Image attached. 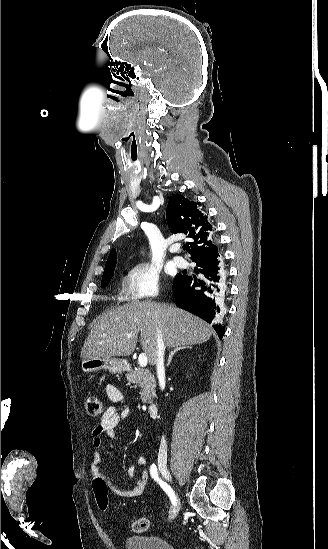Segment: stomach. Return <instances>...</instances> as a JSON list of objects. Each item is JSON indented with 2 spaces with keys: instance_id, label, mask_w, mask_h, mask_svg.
Returning a JSON list of instances; mask_svg holds the SVG:
<instances>
[{
  "instance_id": "stomach-1",
  "label": "stomach",
  "mask_w": 328,
  "mask_h": 549,
  "mask_svg": "<svg viewBox=\"0 0 328 549\" xmlns=\"http://www.w3.org/2000/svg\"><path fill=\"white\" fill-rule=\"evenodd\" d=\"M83 373H93V371H110L114 375H120L124 371H130V365L127 359H116V357H96V359H83L81 363Z\"/></svg>"
}]
</instances>
